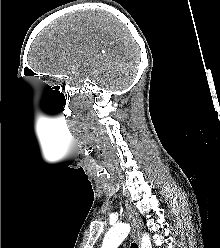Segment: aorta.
<instances>
[{
	"mask_svg": "<svg viewBox=\"0 0 220 248\" xmlns=\"http://www.w3.org/2000/svg\"><path fill=\"white\" fill-rule=\"evenodd\" d=\"M130 229L131 227L127 223L116 224L106 233L101 248H118L128 236ZM141 248H152L149 235L143 234Z\"/></svg>",
	"mask_w": 220,
	"mask_h": 248,
	"instance_id": "aorta-1",
	"label": "aorta"
}]
</instances>
